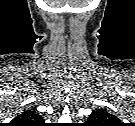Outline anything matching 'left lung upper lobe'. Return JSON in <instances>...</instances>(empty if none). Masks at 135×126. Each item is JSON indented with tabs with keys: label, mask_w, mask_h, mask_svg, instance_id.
I'll return each instance as SVG.
<instances>
[{
	"label": "left lung upper lobe",
	"mask_w": 135,
	"mask_h": 126,
	"mask_svg": "<svg viewBox=\"0 0 135 126\" xmlns=\"http://www.w3.org/2000/svg\"><path fill=\"white\" fill-rule=\"evenodd\" d=\"M89 122L97 126H113L117 118L103 109H95L88 118Z\"/></svg>",
	"instance_id": "left-lung-upper-lobe-1"
}]
</instances>
